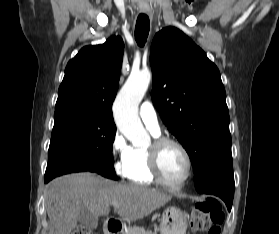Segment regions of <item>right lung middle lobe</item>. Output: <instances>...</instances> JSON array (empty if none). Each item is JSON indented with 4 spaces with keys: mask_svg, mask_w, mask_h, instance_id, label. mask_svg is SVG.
<instances>
[{
    "mask_svg": "<svg viewBox=\"0 0 279 234\" xmlns=\"http://www.w3.org/2000/svg\"><path fill=\"white\" fill-rule=\"evenodd\" d=\"M54 119L45 176L62 165L82 163L104 177L118 179L112 162L114 121L83 112L57 113Z\"/></svg>",
    "mask_w": 279,
    "mask_h": 234,
    "instance_id": "1",
    "label": "right lung middle lobe"
}]
</instances>
